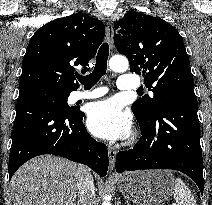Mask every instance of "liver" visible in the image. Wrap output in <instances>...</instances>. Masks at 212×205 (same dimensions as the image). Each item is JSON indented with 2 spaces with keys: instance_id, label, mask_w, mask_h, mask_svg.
<instances>
[{
  "instance_id": "6515ba94",
  "label": "liver",
  "mask_w": 212,
  "mask_h": 205,
  "mask_svg": "<svg viewBox=\"0 0 212 205\" xmlns=\"http://www.w3.org/2000/svg\"><path fill=\"white\" fill-rule=\"evenodd\" d=\"M75 163L42 155L22 165L11 180L13 205H76Z\"/></svg>"
}]
</instances>
